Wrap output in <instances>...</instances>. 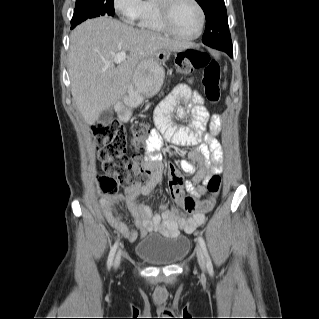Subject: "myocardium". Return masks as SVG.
Wrapping results in <instances>:
<instances>
[{"mask_svg": "<svg viewBox=\"0 0 319 319\" xmlns=\"http://www.w3.org/2000/svg\"><path fill=\"white\" fill-rule=\"evenodd\" d=\"M158 4V11H159V15H160V19L162 22V25L164 27V29L173 37L180 39V40H184V41H192L197 39L202 31H203V27L205 24V13L204 10L202 8V6L200 5V3L197 0H189L197 9L198 14H199V26H198V30L194 35L191 36H184L179 34L173 27L172 22H171V17H172V12L173 9L175 7V5L179 2V0H157Z\"/></svg>", "mask_w": 319, "mask_h": 319, "instance_id": "myocardium-1", "label": "myocardium"}]
</instances>
